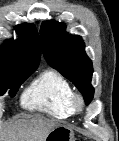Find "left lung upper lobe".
I'll list each match as a JSON object with an SVG mask.
<instances>
[{
  "label": "left lung upper lobe",
  "instance_id": "left-lung-upper-lobe-1",
  "mask_svg": "<svg viewBox=\"0 0 119 141\" xmlns=\"http://www.w3.org/2000/svg\"><path fill=\"white\" fill-rule=\"evenodd\" d=\"M65 25L55 20L41 25V48L43 55L53 68L69 79L82 93L88 105L94 95L91 85L92 61L86 55L80 36L69 35Z\"/></svg>",
  "mask_w": 119,
  "mask_h": 141
}]
</instances>
